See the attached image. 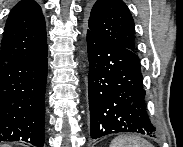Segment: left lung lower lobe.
<instances>
[{
    "instance_id": "1",
    "label": "left lung lower lobe",
    "mask_w": 183,
    "mask_h": 147,
    "mask_svg": "<svg viewBox=\"0 0 183 147\" xmlns=\"http://www.w3.org/2000/svg\"><path fill=\"white\" fill-rule=\"evenodd\" d=\"M87 48L91 137L121 132L155 136L135 51L89 32Z\"/></svg>"
}]
</instances>
